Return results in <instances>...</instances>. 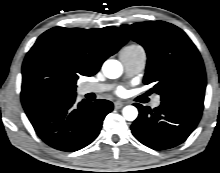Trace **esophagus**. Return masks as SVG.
Instances as JSON below:
<instances>
[{"label":"esophagus","instance_id":"1","mask_svg":"<svg viewBox=\"0 0 220 173\" xmlns=\"http://www.w3.org/2000/svg\"><path fill=\"white\" fill-rule=\"evenodd\" d=\"M124 105H125V103L122 102V101H119V100H117V101L114 102V107H115L116 109H120V108L123 107Z\"/></svg>","mask_w":220,"mask_h":173}]
</instances>
